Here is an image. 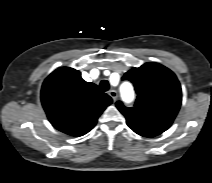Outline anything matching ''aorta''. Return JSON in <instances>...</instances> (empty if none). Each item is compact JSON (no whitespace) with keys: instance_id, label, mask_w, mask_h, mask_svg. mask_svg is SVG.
<instances>
[{"instance_id":"762f6f07","label":"aorta","mask_w":212,"mask_h":183,"mask_svg":"<svg viewBox=\"0 0 212 183\" xmlns=\"http://www.w3.org/2000/svg\"><path fill=\"white\" fill-rule=\"evenodd\" d=\"M122 93L126 96H132V88L129 84H124L122 86Z\"/></svg>"}]
</instances>
